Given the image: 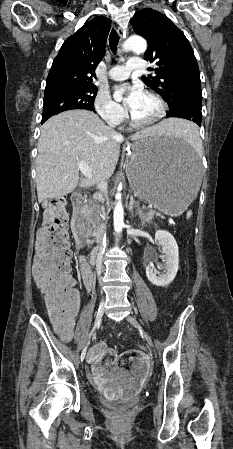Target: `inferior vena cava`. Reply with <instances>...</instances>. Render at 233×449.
<instances>
[{
    "label": "inferior vena cava",
    "mask_w": 233,
    "mask_h": 449,
    "mask_svg": "<svg viewBox=\"0 0 233 449\" xmlns=\"http://www.w3.org/2000/svg\"><path fill=\"white\" fill-rule=\"evenodd\" d=\"M107 187H108V184H107V181H105V180H101L97 184V188L100 191H102L105 194V196L107 194ZM100 248H102V237L100 239ZM97 274H98V276H100V274H101V264H99L97 266Z\"/></svg>",
    "instance_id": "1"
}]
</instances>
